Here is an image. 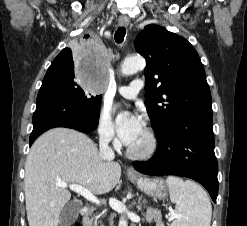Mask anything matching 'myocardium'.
<instances>
[{
    "instance_id": "1",
    "label": "myocardium",
    "mask_w": 247,
    "mask_h": 226,
    "mask_svg": "<svg viewBox=\"0 0 247 226\" xmlns=\"http://www.w3.org/2000/svg\"><path fill=\"white\" fill-rule=\"evenodd\" d=\"M145 131L148 136V147L143 151L137 152L127 146L126 153L130 158L135 160H148L156 154L159 146L158 137L151 127H146Z\"/></svg>"
}]
</instances>
